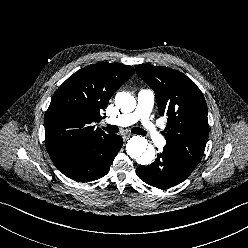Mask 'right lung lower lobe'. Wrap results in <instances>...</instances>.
I'll list each match as a JSON object with an SVG mask.
<instances>
[{"instance_id": "98d812e1", "label": "right lung lower lobe", "mask_w": 248, "mask_h": 248, "mask_svg": "<svg viewBox=\"0 0 248 248\" xmlns=\"http://www.w3.org/2000/svg\"><path fill=\"white\" fill-rule=\"evenodd\" d=\"M122 144L121 136L106 135L53 162L64 175L77 182L94 181L109 172Z\"/></svg>"}]
</instances>
